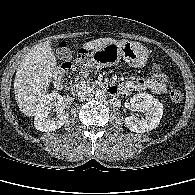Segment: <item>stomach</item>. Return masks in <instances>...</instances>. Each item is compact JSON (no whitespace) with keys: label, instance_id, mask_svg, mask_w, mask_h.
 Wrapping results in <instances>:
<instances>
[{"label":"stomach","instance_id":"0dacf381","mask_svg":"<svg viewBox=\"0 0 195 195\" xmlns=\"http://www.w3.org/2000/svg\"><path fill=\"white\" fill-rule=\"evenodd\" d=\"M121 59L132 67L141 68L147 62L148 52L140 43L122 40L110 42L90 54V62L96 68L116 65Z\"/></svg>","mask_w":195,"mask_h":195}]
</instances>
